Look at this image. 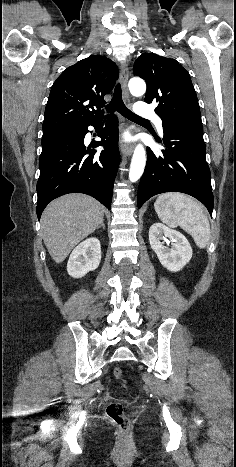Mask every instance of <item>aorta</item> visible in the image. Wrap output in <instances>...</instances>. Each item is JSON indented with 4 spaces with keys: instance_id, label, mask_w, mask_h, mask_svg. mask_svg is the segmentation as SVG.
<instances>
[{
    "instance_id": "aorta-1",
    "label": "aorta",
    "mask_w": 236,
    "mask_h": 467,
    "mask_svg": "<svg viewBox=\"0 0 236 467\" xmlns=\"http://www.w3.org/2000/svg\"><path fill=\"white\" fill-rule=\"evenodd\" d=\"M129 90L134 96H142L146 91V84L141 78H132L128 84ZM146 165V152L142 144L135 147L130 164L129 179L136 182L140 179Z\"/></svg>"
}]
</instances>
